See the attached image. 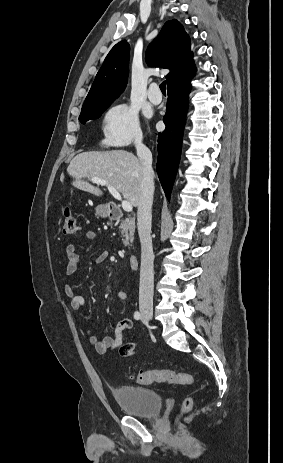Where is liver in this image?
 Instances as JSON below:
<instances>
[{
  "label": "liver",
  "instance_id": "obj_1",
  "mask_svg": "<svg viewBox=\"0 0 283 463\" xmlns=\"http://www.w3.org/2000/svg\"><path fill=\"white\" fill-rule=\"evenodd\" d=\"M67 173L74 178L72 185L80 190L102 196L103 192L83 180L99 178L117 189L128 202L138 206L143 166L139 158L124 150L83 152L70 162ZM155 175L153 173V179ZM64 180V175L60 178Z\"/></svg>",
  "mask_w": 283,
  "mask_h": 463
}]
</instances>
